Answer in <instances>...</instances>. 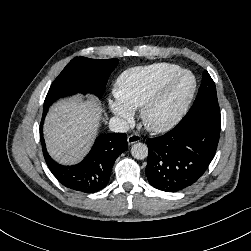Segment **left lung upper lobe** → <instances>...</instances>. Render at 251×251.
<instances>
[{
  "mask_svg": "<svg viewBox=\"0 0 251 251\" xmlns=\"http://www.w3.org/2000/svg\"><path fill=\"white\" fill-rule=\"evenodd\" d=\"M191 112L220 113L216 86L207 71H204L198 95L190 109Z\"/></svg>",
  "mask_w": 251,
  "mask_h": 251,
  "instance_id": "left-lung-upper-lobe-1",
  "label": "left lung upper lobe"
}]
</instances>
